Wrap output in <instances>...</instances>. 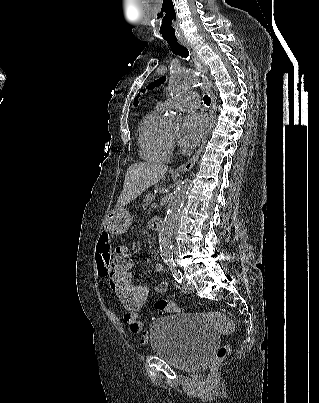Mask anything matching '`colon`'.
I'll list each match as a JSON object with an SVG mask.
<instances>
[{
  "instance_id": "5ec220e1",
  "label": "colon",
  "mask_w": 319,
  "mask_h": 403,
  "mask_svg": "<svg viewBox=\"0 0 319 403\" xmlns=\"http://www.w3.org/2000/svg\"><path fill=\"white\" fill-rule=\"evenodd\" d=\"M121 248L124 252H115L113 259V285L115 300L121 304L123 313H146V291L150 290L149 282H134L132 278V268H136L134 252L126 249L132 248V241L128 234L120 235ZM155 308L159 315H167L180 312V307L173 301L156 299ZM148 336L141 339V343H146ZM231 352L229 344L220 346L211 360L210 373H214L217 365L223 361Z\"/></svg>"
}]
</instances>
